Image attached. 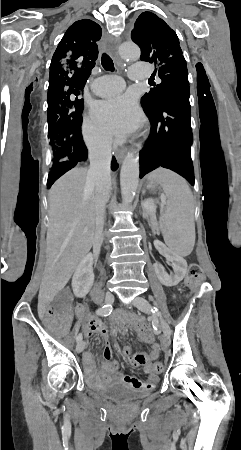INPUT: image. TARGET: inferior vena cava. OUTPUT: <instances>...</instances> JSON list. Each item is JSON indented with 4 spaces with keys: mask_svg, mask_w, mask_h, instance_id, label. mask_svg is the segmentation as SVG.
<instances>
[{
    "mask_svg": "<svg viewBox=\"0 0 241 450\" xmlns=\"http://www.w3.org/2000/svg\"><path fill=\"white\" fill-rule=\"evenodd\" d=\"M111 144L106 138L100 148L89 154L90 168L87 172L85 190H95L96 226L94 240H101L105 222V206L111 190Z\"/></svg>",
    "mask_w": 241,
    "mask_h": 450,
    "instance_id": "inferior-vena-cava-1",
    "label": "inferior vena cava"
}]
</instances>
